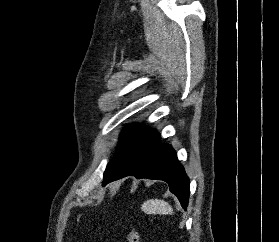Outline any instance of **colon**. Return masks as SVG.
<instances>
[{
  "label": "colon",
  "instance_id": "5ec220e1",
  "mask_svg": "<svg viewBox=\"0 0 279 242\" xmlns=\"http://www.w3.org/2000/svg\"><path fill=\"white\" fill-rule=\"evenodd\" d=\"M128 242H143L139 233L136 230H131L127 236Z\"/></svg>",
  "mask_w": 279,
  "mask_h": 242
}]
</instances>
